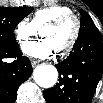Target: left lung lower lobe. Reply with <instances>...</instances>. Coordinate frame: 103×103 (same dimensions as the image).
Masks as SVG:
<instances>
[{"instance_id":"1","label":"left lung lower lobe","mask_w":103,"mask_h":103,"mask_svg":"<svg viewBox=\"0 0 103 103\" xmlns=\"http://www.w3.org/2000/svg\"><path fill=\"white\" fill-rule=\"evenodd\" d=\"M59 83L44 91L47 103H90L103 71V41L98 29L78 37L70 55L56 65Z\"/></svg>"}]
</instances>
